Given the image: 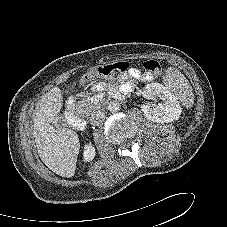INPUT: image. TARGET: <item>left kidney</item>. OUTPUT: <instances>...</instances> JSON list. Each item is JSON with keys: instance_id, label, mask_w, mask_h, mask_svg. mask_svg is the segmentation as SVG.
Segmentation results:
<instances>
[{"instance_id": "obj_1", "label": "left kidney", "mask_w": 227, "mask_h": 227, "mask_svg": "<svg viewBox=\"0 0 227 227\" xmlns=\"http://www.w3.org/2000/svg\"><path fill=\"white\" fill-rule=\"evenodd\" d=\"M145 88L152 99L159 97L162 100L158 105L150 103L141 105V110L147 119L157 123H168L180 117L182 110L179 101L165 86L151 83Z\"/></svg>"}]
</instances>
